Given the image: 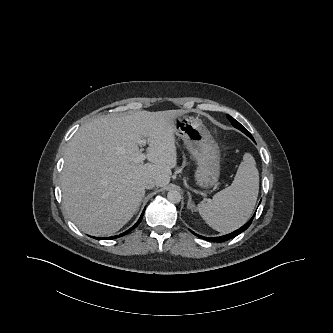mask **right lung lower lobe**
Segmentation results:
<instances>
[{
	"mask_svg": "<svg viewBox=\"0 0 333 333\" xmlns=\"http://www.w3.org/2000/svg\"><path fill=\"white\" fill-rule=\"evenodd\" d=\"M144 211H145V209H144ZM144 211H143V213L141 214V216H140L139 220L137 221V223H136L133 227H131L130 229H128L127 231H125L124 233H121V234L119 235V237L128 234L130 231H132L135 227H137V226L139 225V223L141 222V220H142V218H143ZM116 237H118V236H112V237H110V238L113 239V238H116Z\"/></svg>",
	"mask_w": 333,
	"mask_h": 333,
	"instance_id": "1",
	"label": "right lung lower lobe"
}]
</instances>
